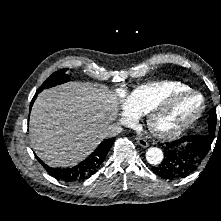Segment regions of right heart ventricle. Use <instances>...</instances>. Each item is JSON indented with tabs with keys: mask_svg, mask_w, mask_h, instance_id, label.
<instances>
[{
	"mask_svg": "<svg viewBox=\"0 0 221 221\" xmlns=\"http://www.w3.org/2000/svg\"><path fill=\"white\" fill-rule=\"evenodd\" d=\"M191 88L182 82L162 80L144 83L133 88L125 98L127 108L137 116L145 115L154 103Z\"/></svg>",
	"mask_w": 221,
	"mask_h": 221,
	"instance_id": "obj_1",
	"label": "right heart ventricle"
}]
</instances>
